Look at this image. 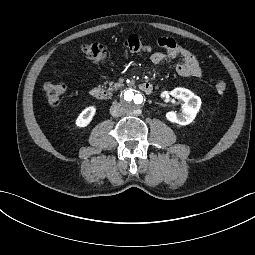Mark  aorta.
Returning a JSON list of instances; mask_svg holds the SVG:
<instances>
[{
  "instance_id": "762f6f07",
  "label": "aorta",
  "mask_w": 255,
  "mask_h": 255,
  "mask_svg": "<svg viewBox=\"0 0 255 255\" xmlns=\"http://www.w3.org/2000/svg\"><path fill=\"white\" fill-rule=\"evenodd\" d=\"M123 100L127 106L135 109L140 108L145 102L144 96L135 89L126 90L123 95Z\"/></svg>"
}]
</instances>
